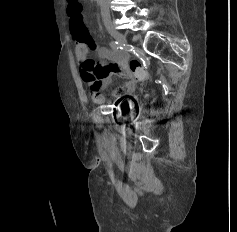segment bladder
I'll return each mask as SVG.
<instances>
[{"instance_id":"bladder-1","label":"bladder","mask_w":237,"mask_h":232,"mask_svg":"<svg viewBox=\"0 0 237 232\" xmlns=\"http://www.w3.org/2000/svg\"><path fill=\"white\" fill-rule=\"evenodd\" d=\"M128 104H129V103H128L127 101H123V102H122V105L125 106V107H128Z\"/></svg>"}]
</instances>
